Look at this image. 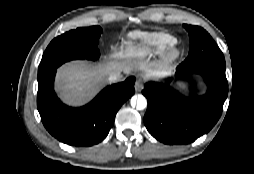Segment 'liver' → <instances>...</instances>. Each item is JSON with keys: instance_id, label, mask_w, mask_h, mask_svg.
I'll return each instance as SVG.
<instances>
[{"instance_id": "6515ba94", "label": "liver", "mask_w": 254, "mask_h": 174, "mask_svg": "<svg viewBox=\"0 0 254 174\" xmlns=\"http://www.w3.org/2000/svg\"><path fill=\"white\" fill-rule=\"evenodd\" d=\"M132 66L127 59L119 56L96 65H91L86 61H73L58 70L56 89L66 103L79 105L106 83L112 73L118 71L129 73Z\"/></svg>"}]
</instances>
